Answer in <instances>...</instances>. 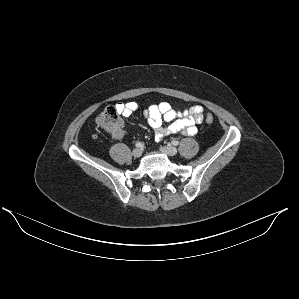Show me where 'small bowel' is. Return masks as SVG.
<instances>
[{
	"mask_svg": "<svg viewBox=\"0 0 299 299\" xmlns=\"http://www.w3.org/2000/svg\"><path fill=\"white\" fill-rule=\"evenodd\" d=\"M117 111L124 117H130L139 109L135 101L118 102L114 105ZM144 115L154 131L157 141H160L172 134L181 133L186 136H193L197 132L196 124L204 119V110L201 106H193L184 110H175L168 102H160L148 106ZM164 122L169 123L164 125ZM126 131L121 129L118 133L112 134L114 139H121Z\"/></svg>",
	"mask_w": 299,
	"mask_h": 299,
	"instance_id": "c3829d8e",
	"label": "small bowel"
}]
</instances>
